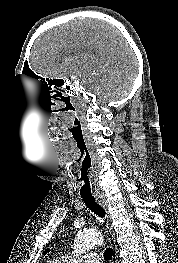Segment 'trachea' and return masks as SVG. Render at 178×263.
<instances>
[{
    "label": "trachea",
    "instance_id": "3493384b",
    "mask_svg": "<svg viewBox=\"0 0 178 263\" xmlns=\"http://www.w3.org/2000/svg\"><path fill=\"white\" fill-rule=\"evenodd\" d=\"M79 192L80 196L83 199L86 207H88L94 214L100 218L105 217V211L101 205H99L93 195H92V186L89 180V169L88 167L82 166L79 174ZM113 249L106 248L104 251V259L110 261L112 259Z\"/></svg>",
    "mask_w": 178,
    "mask_h": 263
}]
</instances>
